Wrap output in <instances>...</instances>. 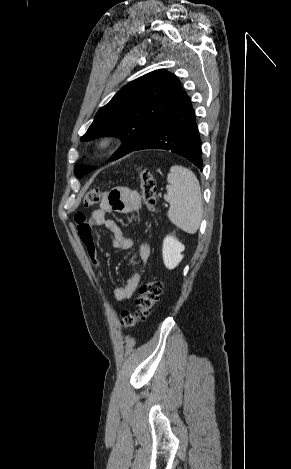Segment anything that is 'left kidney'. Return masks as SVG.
<instances>
[{
  "label": "left kidney",
  "instance_id": "1",
  "mask_svg": "<svg viewBox=\"0 0 291 469\" xmlns=\"http://www.w3.org/2000/svg\"><path fill=\"white\" fill-rule=\"evenodd\" d=\"M184 245L179 242L174 236L168 235L163 240L162 256L166 268L174 269L182 261Z\"/></svg>",
  "mask_w": 291,
  "mask_h": 469
}]
</instances>
